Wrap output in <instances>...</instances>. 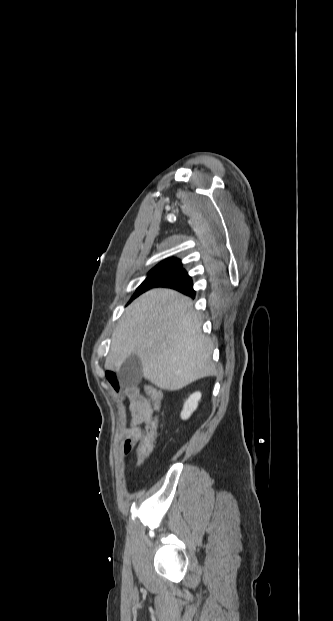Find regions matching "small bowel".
I'll return each mask as SVG.
<instances>
[{"mask_svg":"<svg viewBox=\"0 0 333 621\" xmlns=\"http://www.w3.org/2000/svg\"><path fill=\"white\" fill-rule=\"evenodd\" d=\"M105 375L112 390L121 399L129 401V422L125 430L126 439L123 446L124 454H127L137 444L143 432L140 425H146L154 416L155 409L150 398V387L146 388V395H144L137 386L123 388L113 370H106Z\"/></svg>","mask_w":333,"mask_h":621,"instance_id":"1","label":"small bowel"}]
</instances>
